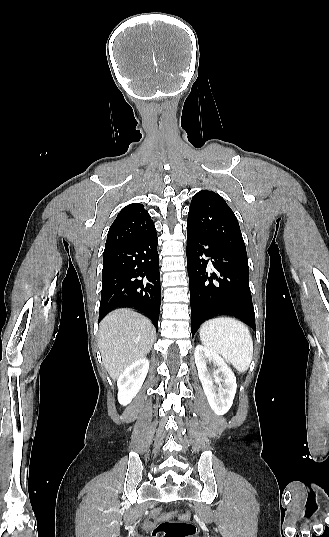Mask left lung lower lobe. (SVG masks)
<instances>
[{
	"label": "left lung lower lobe",
	"mask_w": 329,
	"mask_h": 537,
	"mask_svg": "<svg viewBox=\"0 0 329 537\" xmlns=\"http://www.w3.org/2000/svg\"><path fill=\"white\" fill-rule=\"evenodd\" d=\"M211 269L209 272V260ZM187 267L192 336L216 315L239 318L256 331L248 259L217 246L187 225Z\"/></svg>",
	"instance_id": "1"
}]
</instances>
